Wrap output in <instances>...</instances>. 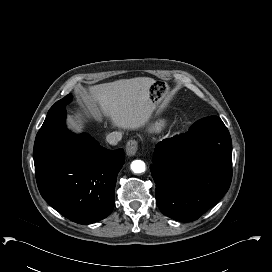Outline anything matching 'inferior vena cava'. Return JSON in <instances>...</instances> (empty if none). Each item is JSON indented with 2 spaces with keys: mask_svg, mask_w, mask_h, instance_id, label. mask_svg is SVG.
<instances>
[{
  "mask_svg": "<svg viewBox=\"0 0 272 272\" xmlns=\"http://www.w3.org/2000/svg\"><path fill=\"white\" fill-rule=\"evenodd\" d=\"M122 139L121 132H111L106 136V140L111 145H117V143Z\"/></svg>",
  "mask_w": 272,
  "mask_h": 272,
  "instance_id": "obj_1",
  "label": "inferior vena cava"
}]
</instances>
